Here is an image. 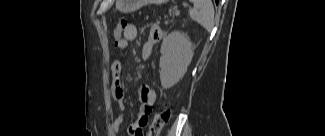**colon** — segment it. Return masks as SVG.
<instances>
[{
	"instance_id": "colon-1",
	"label": "colon",
	"mask_w": 325,
	"mask_h": 136,
	"mask_svg": "<svg viewBox=\"0 0 325 136\" xmlns=\"http://www.w3.org/2000/svg\"><path fill=\"white\" fill-rule=\"evenodd\" d=\"M128 22L126 20H121L119 24L114 29V39L115 43L119 42L123 37V31L127 27ZM170 118V110L163 109L158 112L152 122L150 123L149 130L146 136H159L163 126L168 122Z\"/></svg>"
}]
</instances>
